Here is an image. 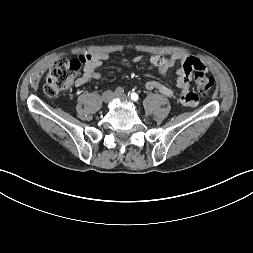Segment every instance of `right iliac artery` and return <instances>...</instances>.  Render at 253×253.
Returning a JSON list of instances; mask_svg holds the SVG:
<instances>
[{"instance_id":"right-iliac-artery-1","label":"right iliac artery","mask_w":253,"mask_h":253,"mask_svg":"<svg viewBox=\"0 0 253 253\" xmlns=\"http://www.w3.org/2000/svg\"><path fill=\"white\" fill-rule=\"evenodd\" d=\"M123 92H124V90H123L122 87H117V88L115 89V94H116V95H121V94H123Z\"/></svg>"}]
</instances>
